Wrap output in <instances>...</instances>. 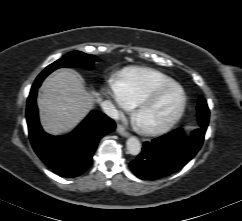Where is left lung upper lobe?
Listing matches in <instances>:
<instances>
[{"label": "left lung upper lobe", "mask_w": 242, "mask_h": 221, "mask_svg": "<svg viewBox=\"0 0 242 221\" xmlns=\"http://www.w3.org/2000/svg\"><path fill=\"white\" fill-rule=\"evenodd\" d=\"M197 118H198L199 124H201L203 120L209 119V109L206 101L202 97L199 98V102H198Z\"/></svg>", "instance_id": "1"}]
</instances>
